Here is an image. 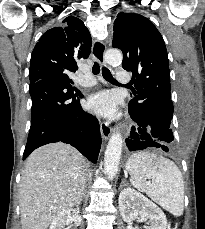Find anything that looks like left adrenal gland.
<instances>
[{
  "label": "left adrenal gland",
  "instance_id": "a2214340",
  "mask_svg": "<svg viewBox=\"0 0 205 229\" xmlns=\"http://www.w3.org/2000/svg\"><path fill=\"white\" fill-rule=\"evenodd\" d=\"M125 185H126L125 180H122V183H121V185H120V188H122V187L125 186Z\"/></svg>",
  "mask_w": 205,
  "mask_h": 229
}]
</instances>
